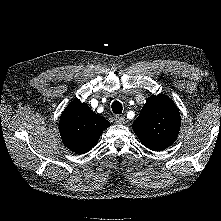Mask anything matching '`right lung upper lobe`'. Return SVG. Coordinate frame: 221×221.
<instances>
[{"label": "right lung upper lobe", "mask_w": 221, "mask_h": 221, "mask_svg": "<svg viewBox=\"0 0 221 221\" xmlns=\"http://www.w3.org/2000/svg\"><path fill=\"white\" fill-rule=\"evenodd\" d=\"M110 123L80 100H74L63 111L59 121L62 142L73 152L83 154L94 147Z\"/></svg>", "instance_id": "obj_1"}]
</instances>
